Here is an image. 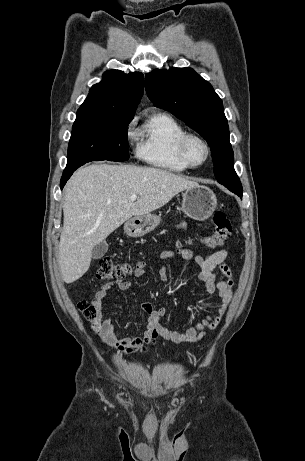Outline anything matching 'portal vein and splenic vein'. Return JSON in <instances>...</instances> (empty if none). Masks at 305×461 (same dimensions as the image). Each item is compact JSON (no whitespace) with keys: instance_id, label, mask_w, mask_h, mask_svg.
<instances>
[{"instance_id":"obj_1","label":"portal vein and splenic vein","mask_w":305,"mask_h":461,"mask_svg":"<svg viewBox=\"0 0 305 461\" xmlns=\"http://www.w3.org/2000/svg\"><path fill=\"white\" fill-rule=\"evenodd\" d=\"M136 199H137V195H136V194L131 195V197H130V200H131V201H135Z\"/></svg>"}]
</instances>
